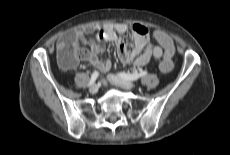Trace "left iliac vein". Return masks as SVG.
Masks as SVG:
<instances>
[{"label":"left iliac vein","mask_w":230,"mask_h":155,"mask_svg":"<svg viewBox=\"0 0 230 155\" xmlns=\"http://www.w3.org/2000/svg\"><path fill=\"white\" fill-rule=\"evenodd\" d=\"M107 78H108L110 83L117 85V86H120L122 88H125L128 90L135 88V84L133 82L128 81V80H124L123 78H121L117 75L108 74Z\"/></svg>","instance_id":"1"}]
</instances>
